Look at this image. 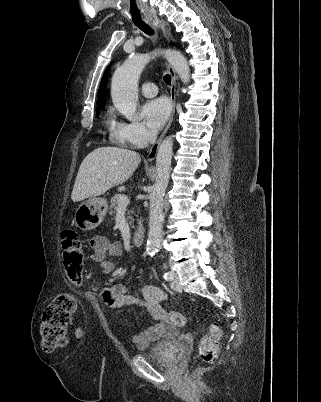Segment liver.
I'll list each match as a JSON object with an SVG mask.
<instances>
[{"label": "liver", "instance_id": "obj_1", "mask_svg": "<svg viewBox=\"0 0 321 402\" xmlns=\"http://www.w3.org/2000/svg\"><path fill=\"white\" fill-rule=\"evenodd\" d=\"M141 162L139 153L119 147H99L82 161L71 194L73 202L104 194L128 180Z\"/></svg>", "mask_w": 321, "mask_h": 402}]
</instances>
